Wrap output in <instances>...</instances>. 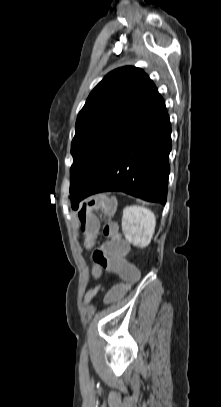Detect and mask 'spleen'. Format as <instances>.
Returning a JSON list of instances; mask_svg holds the SVG:
<instances>
[{
    "label": "spleen",
    "instance_id": "obj_1",
    "mask_svg": "<svg viewBox=\"0 0 221 407\" xmlns=\"http://www.w3.org/2000/svg\"><path fill=\"white\" fill-rule=\"evenodd\" d=\"M156 216L148 208L132 205L123 210L122 231L134 246H147L154 235Z\"/></svg>",
    "mask_w": 221,
    "mask_h": 407
}]
</instances>
